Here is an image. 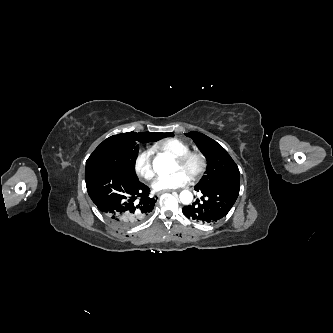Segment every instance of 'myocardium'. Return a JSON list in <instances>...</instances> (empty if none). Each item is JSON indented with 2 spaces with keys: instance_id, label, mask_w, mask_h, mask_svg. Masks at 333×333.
I'll return each instance as SVG.
<instances>
[{
  "instance_id": "obj_1",
  "label": "myocardium",
  "mask_w": 333,
  "mask_h": 333,
  "mask_svg": "<svg viewBox=\"0 0 333 333\" xmlns=\"http://www.w3.org/2000/svg\"><path fill=\"white\" fill-rule=\"evenodd\" d=\"M196 160L198 162L197 170L191 174L189 177L191 180L196 181L200 179L207 169V158L199 151H189L186 154L176 158V162L184 167L188 165L191 161Z\"/></svg>"
}]
</instances>
